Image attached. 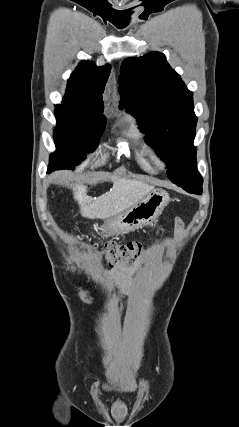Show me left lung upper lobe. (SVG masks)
Returning a JSON list of instances; mask_svg holds the SVG:
<instances>
[{
	"mask_svg": "<svg viewBox=\"0 0 239 427\" xmlns=\"http://www.w3.org/2000/svg\"><path fill=\"white\" fill-rule=\"evenodd\" d=\"M119 77V108H125L147 133V143L168 164L176 185L192 187L203 180L193 146L197 117L193 94L160 52L128 58Z\"/></svg>",
	"mask_w": 239,
	"mask_h": 427,
	"instance_id": "left-lung-upper-lobe-1",
	"label": "left lung upper lobe"
}]
</instances>
